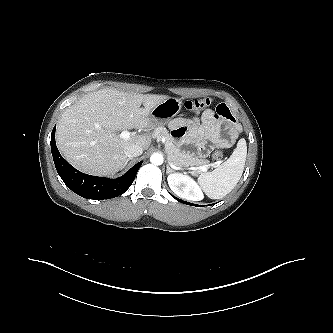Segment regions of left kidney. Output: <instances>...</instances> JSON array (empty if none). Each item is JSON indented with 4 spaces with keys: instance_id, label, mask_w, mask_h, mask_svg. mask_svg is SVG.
Returning a JSON list of instances; mask_svg holds the SVG:
<instances>
[{
    "instance_id": "5707ae66",
    "label": "left kidney",
    "mask_w": 333,
    "mask_h": 333,
    "mask_svg": "<svg viewBox=\"0 0 333 333\" xmlns=\"http://www.w3.org/2000/svg\"><path fill=\"white\" fill-rule=\"evenodd\" d=\"M171 190L181 198L192 201H200L204 195L198 184L189 176L174 173L167 178Z\"/></svg>"
}]
</instances>
